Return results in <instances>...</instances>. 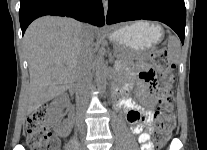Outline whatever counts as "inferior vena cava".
Segmentation results:
<instances>
[{"mask_svg": "<svg viewBox=\"0 0 207 150\" xmlns=\"http://www.w3.org/2000/svg\"><path fill=\"white\" fill-rule=\"evenodd\" d=\"M92 67L93 37L85 31L82 36V46L74 78L76 96L81 106H85L88 102L89 89L93 80Z\"/></svg>", "mask_w": 207, "mask_h": 150, "instance_id": "602c4592", "label": "inferior vena cava"}]
</instances>
